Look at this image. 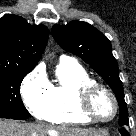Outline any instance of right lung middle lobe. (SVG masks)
<instances>
[{"instance_id":"right-lung-middle-lobe-1","label":"right lung middle lobe","mask_w":136,"mask_h":136,"mask_svg":"<svg viewBox=\"0 0 136 136\" xmlns=\"http://www.w3.org/2000/svg\"><path fill=\"white\" fill-rule=\"evenodd\" d=\"M29 73L25 71L0 70V118L23 120L29 117L20 97V85Z\"/></svg>"}]
</instances>
